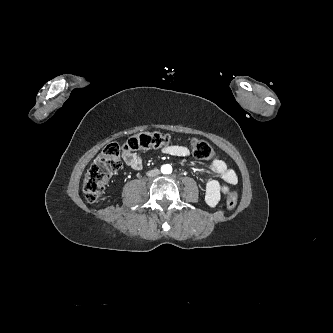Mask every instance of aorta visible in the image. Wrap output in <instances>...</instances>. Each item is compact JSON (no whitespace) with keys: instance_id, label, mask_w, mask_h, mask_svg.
<instances>
[{"instance_id":"1","label":"aorta","mask_w":333,"mask_h":333,"mask_svg":"<svg viewBox=\"0 0 333 333\" xmlns=\"http://www.w3.org/2000/svg\"><path fill=\"white\" fill-rule=\"evenodd\" d=\"M161 170H162V173H164V174H170L172 172V168L170 165L162 166Z\"/></svg>"}]
</instances>
